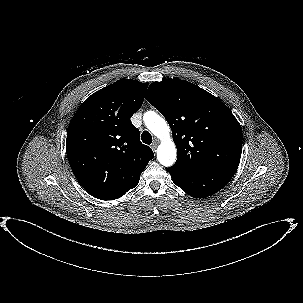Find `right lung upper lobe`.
I'll return each mask as SVG.
<instances>
[{
  "mask_svg": "<svg viewBox=\"0 0 303 303\" xmlns=\"http://www.w3.org/2000/svg\"><path fill=\"white\" fill-rule=\"evenodd\" d=\"M148 83L121 79L95 92L78 108L66 139L71 169L82 187L101 200L134 188L154 157L130 118L144 101Z\"/></svg>",
  "mask_w": 303,
  "mask_h": 303,
  "instance_id": "cb5924a9",
  "label": "right lung upper lobe"
}]
</instances>
